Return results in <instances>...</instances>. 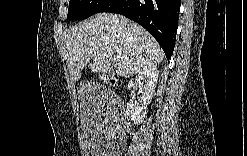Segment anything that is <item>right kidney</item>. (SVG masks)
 <instances>
[{"label":"right kidney","instance_id":"obj_1","mask_svg":"<svg viewBox=\"0 0 247 156\" xmlns=\"http://www.w3.org/2000/svg\"><path fill=\"white\" fill-rule=\"evenodd\" d=\"M159 71L155 64L144 66L135 77V87L142 94L143 104L140 106L134 97L127 104V113L134 124L142 123L146 113L147 106L150 104L158 80Z\"/></svg>","mask_w":247,"mask_h":156}]
</instances>
